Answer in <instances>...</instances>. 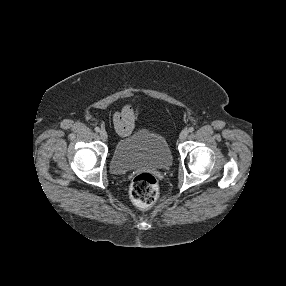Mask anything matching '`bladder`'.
Segmentation results:
<instances>
[{"instance_id":"31cf9c89","label":"bladder","mask_w":286,"mask_h":286,"mask_svg":"<svg viewBox=\"0 0 286 286\" xmlns=\"http://www.w3.org/2000/svg\"><path fill=\"white\" fill-rule=\"evenodd\" d=\"M172 163L173 155L166 138L146 127L119 139L111 156V169L115 174H124L139 167L165 170Z\"/></svg>"}]
</instances>
